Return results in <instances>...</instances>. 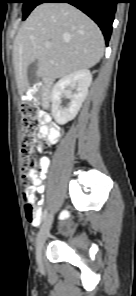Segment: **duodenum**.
<instances>
[{
  "instance_id": "1",
  "label": "duodenum",
  "mask_w": 136,
  "mask_h": 296,
  "mask_svg": "<svg viewBox=\"0 0 136 296\" xmlns=\"http://www.w3.org/2000/svg\"><path fill=\"white\" fill-rule=\"evenodd\" d=\"M52 85V80L48 79L43 84H39L38 86H35L33 91H43V105L47 106L50 99V87Z\"/></svg>"
}]
</instances>
